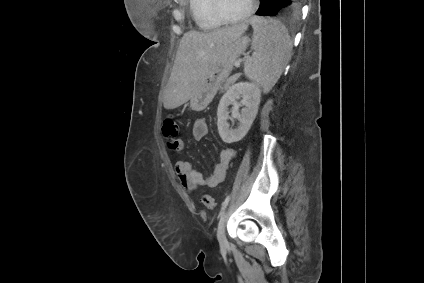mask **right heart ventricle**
Returning a JSON list of instances; mask_svg holds the SVG:
<instances>
[{"instance_id": "right-heart-ventricle-1", "label": "right heart ventricle", "mask_w": 424, "mask_h": 283, "mask_svg": "<svg viewBox=\"0 0 424 283\" xmlns=\"http://www.w3.org/2000/svg\"><path fill=\"white\" fill-rule=\"evenodd\" d=\"M210 0H189V9L196 26L204 31L219 28L218 22L210 12Z\"/></svg>"}]
</instances>
